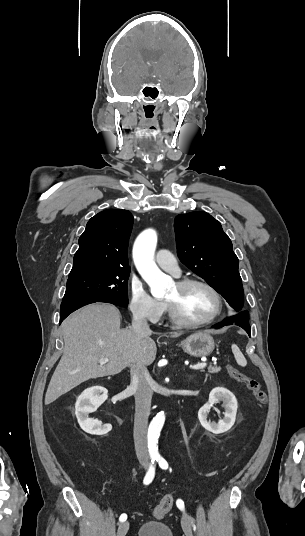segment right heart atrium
<instances>
[{"label":"right heart atrium","mask_w":305,"mask_h":536,"mask_svg":"<svg viewBox=\"0 0 305 536\" xmlns=\"http://www.w3.org/2000/svg\"><path fill=\"white\" fill-rule=\"evenodd\" d=\"M164 303L153 298L138 281L129 285V309L138 319L156 321L164 311Z\"/></svg>","instance_id":"d8ad5b80"}]
</instances>
